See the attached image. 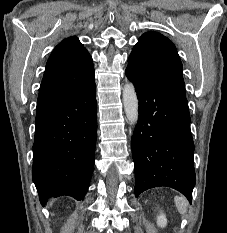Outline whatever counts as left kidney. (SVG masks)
Instances as JSON below:
<instances>
[{
    "label": "left kidney",
    "instance_id": "obj_1",
    "mask_svg": "<svg viewBox=\"0 0 227 233\" xmlns=\"http://www.w3.org/2000/svg\"><path fill=\"white\" fill-rule=\"evenodd\" d=\"M157 224L158 226L160 227H165L166 224H167V219H166V216L164 214H160L158 217H157Z\"/></svg>",
    "mask_w": 227,
    "mask_h": 233
}]
</instances>
